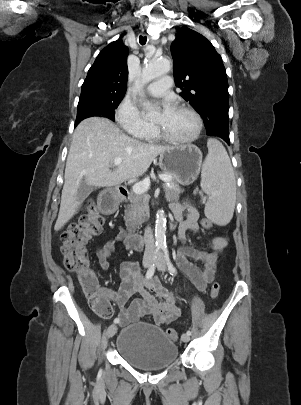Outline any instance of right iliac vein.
Masks as SVG:
<instances>
[{
	"instance_id": "obj_1",
	"label": "right iliac vein",
	"mask_w": 301,
	"mask_h": 405,
	"mask_svg": "<svg viewBox=\"0 0 301 405\" xmlns=\"http://www.w3.org/2000/svg\"><path fill=\"white\" fill-rule=\"evenodd\" d=\"M150 263H151V256H146L145 258H144V260H143V266L145 267V268H147V267H149V265H150ZM117 325H110L109 327H108V329H107V331H106V336H107V338H111V337H113L115 334H116V332H117Z\"/></svg>"
}]
</instances>
